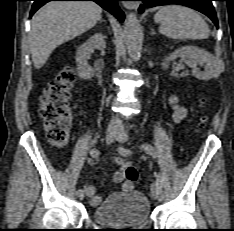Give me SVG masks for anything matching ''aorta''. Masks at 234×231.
<instances>
[{
    "mask_svg": "<svg viewBox=\"0 0 234 231\" xmlns=\"http://www.w3.org/2000/svg\"><path fill=\"white\" fill-rule=\"evenodd\" d=\"M124 40L130 57L138 61L142 48V33L136 14L130 13L124 24Z\"/></svg>",
    "mask_w": 234,
    "mask_h": 231,
    "instance_id": "762f6f07",
    "label": "aorta"
}]
</instances>
